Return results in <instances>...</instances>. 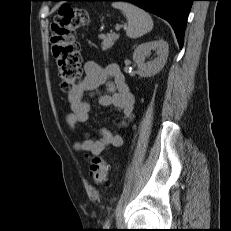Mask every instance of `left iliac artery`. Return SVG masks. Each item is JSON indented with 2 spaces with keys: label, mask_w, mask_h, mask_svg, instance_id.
<instances>
[{
  "label": "left iliac artery",
  "mask_w": 231,
  "mask_h": 231,
  "mask_svg": "<svg viewBox=\"0 0 231 231\" xmlns=\"http://www.w3.org/2000/svg\"><path fill=\"white\" fill-rule=\"evenodd\" d=\"M104 227H105L106 229H109V228H110V222H109V220H107V221L105 222Z\"/></svg>",
  "instance_id": "1"
}]
</instances>
